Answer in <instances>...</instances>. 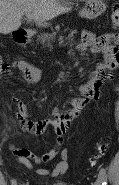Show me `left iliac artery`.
I'll use <instances>...</instances> for the list:
<instances>
[{
  "instance_id": "1",
  "label": "left iliac artery",
  "mask_w": 119,
  "mask_h": 185,
  "mask_svg": "<svg viewBox=\"0 0 119 185\" xmlns=\"http://www.w3.org/2000/svg\"><path fill=\"white\" fill-rule=\"evenodd\" d=\"M100 175H101V177L103 179L102 185H107L108 184L107 183V174H106V170L104 168L100 169Z\"/></svg>"
}]
</instances>
